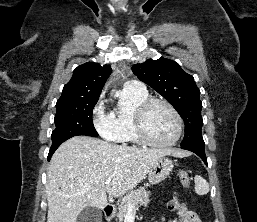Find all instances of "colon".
Here are the masks:
<instances>
[{
	"instance_id": "obj_1",
	"label": "colon",
	"mask_w": 257,
	"mask_h": 222,
	"mask_svg": "<svg viewBox=\"0 0 257 222\" xmlns=\"http://www.w3.org/2000/svg\"><path fill=\"white\" fill-rule=\"evenodd\" d=\"M179 179H180L181 184L184 187H187L189 185L190 180H189V176H188L187 172L179 171ZM171 207L174 209H178L180 206L177 201H172Z\"/></svg>"
}]
</instances>
